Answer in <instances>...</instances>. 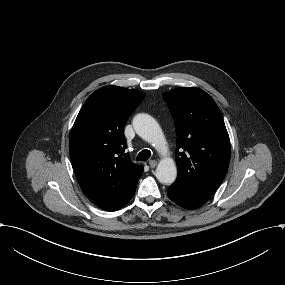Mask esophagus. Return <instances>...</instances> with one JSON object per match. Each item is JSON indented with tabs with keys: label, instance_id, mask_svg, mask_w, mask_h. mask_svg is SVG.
Instances as JSON below:
<instances>
[{
	"label": "esophagus",
	"instance_id": "34e87169",
	"mask_svg": "<svg viewBox=\"0 0 285 285\" xmlns=\"http://www.w3.org/2000/svg\"><path fill=\"white\" fill-rule=\"evenodd\" d=\"M148 164L151 168H155L157 166V161L156 160H150Z\"/></svg>",
	"mask_w": 285,
	"mask_h": 285
}]
</instances>
